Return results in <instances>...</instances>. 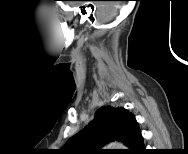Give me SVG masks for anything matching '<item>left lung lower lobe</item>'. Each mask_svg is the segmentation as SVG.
Instances as JSON below:
<instances>
[{"label":"left lung lower lobe","mask_w":188,"mask_h":154,"mask_svg":"<svg viewBox=\"0 0 188 154\" xmlns=\"http://www.w3.org/2000/svg\"><path fill=\"white\" fill-rule=\"evenodd\" d=\"M124 144L129 148L126 150L128 154L144 150L142 135L135 117H133L129 123Z\"/></svg>","instance_id":"left-lung-lower-lobe-1"}]
</instances>
